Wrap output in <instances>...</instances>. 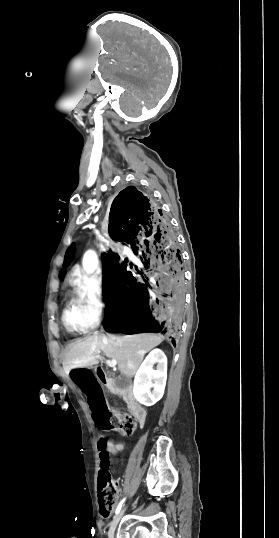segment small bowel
Segmentation results:
<instances>
[{
	"label": "small bowel",
	"instance_id": "c3829d8e",
	"mask_svg": "<svg viewBox=\"0 0 279 538\" xmlns=\"http://www.w3.org/2000/svg\"><path fill=\"white\" fill-rule=\"evenodd\" d=\"M110 450L114 455H117L119 451L123 449V445L120 443L109 442Z\"/></svg>",
	"mask_w": 279,
	"mask_h": 538
}]
</instances>
